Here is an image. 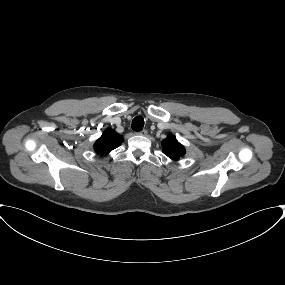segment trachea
I'll use <instances>...</instances> for the list:
<instances>
[{
  "instance_id": "1",
  "label": "trachea",
  "mask_w": 285,
  "mask_h": 285,
  "mask_svg": "<svg viewBox=\"0 0 285 285\" xmlns=\"http://www.w3.org/2000/svg\"><path fill=\"white\" fill-rule=\"evenodd\" d=\"M132 129L134 131H141L144 127V119L141 116H137L132 120Z\"/></svg>"
}]
</instances>
